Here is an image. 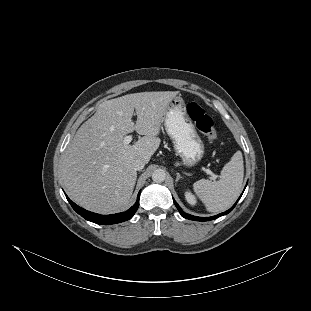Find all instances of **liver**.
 Here are the masks:
<instances>
[{
  "label": "liver",
  "instance_id": "liver-1",
  "mask_svg": "<svg viewBox=\"0 0 311 311\" xmlns=\"http://www.w3.org/2000/svg\"><path fill=\"white\" fill-rule=\"evenodd\" d=\"M178 94L150 91L107 100L80 126L61 165L67 194L79 206L100 214L128 206L137 179L132 163L139 157L147 164L159 148L167 105ZM134 131L142 137L124 145V137Z\"/></svg>",
  "mask_w": 311,
  "mask_h": 311
}]
</instances>
